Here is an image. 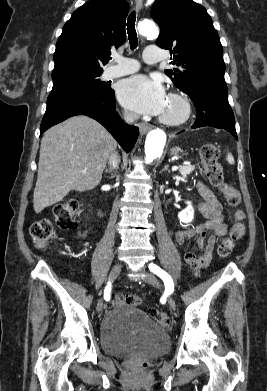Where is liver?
I'll list each match as a JSON object with an SVG mask.
<instances>
[{"label":"liver","instance_id":"liver-1","mask_svg":"<svg viewBox=\"0 0 267 391\" xmlns=\"http://www.w3.org/2000/svg\"><path fill=\"white\" fill-rule=\"evenodd\" d=\"M116 145L101 124L83 115L71 117L47 130L40 146L33 195L35 212L58 203L71 190L94 189Z\"/></svg>","mask_w":267,"mask_h":391}]
</instances>
